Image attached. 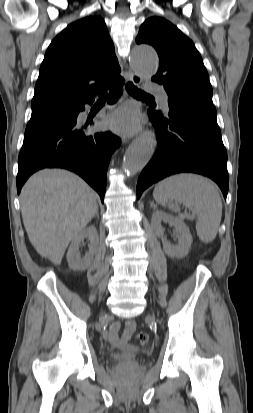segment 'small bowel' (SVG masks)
<instances>
[{
	"label": "small bowel",
	"mask_w": 253,
	"mask_h": 413,
	"mask_svg": "<svg viewBox=\"0 0 253 413\" xmlns=\"http://www.w3.org/2000/svg\"><path fill=\"white\" fill-rule=\"evenodd\" d=\"M120 328L119 322L113 323L108 331V337L114 346L124 348L136 329V323L133 320H128L124 325L122 333H120Z\"/></svg>",
	"instance_id": "c3829d8e"
}]
</instances>
